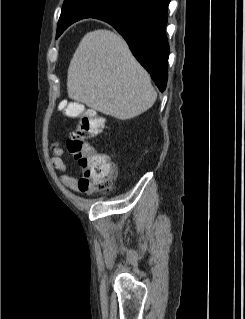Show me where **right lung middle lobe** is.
<instances>
[{
    "label": "right lung middle lobe",
    "instance_id": "1",
    "mask_svg": "<svg viewBox=\"0 0 245 319\" xmlns=\"http://www.w3.org/2000/svg\"><path fill=\"white\" fill-rule=\"evenodd\" d=\"M126 0H85L79 2L80 6L83 7L86 11L91 13L93 17L108 11L110 9H113L122 3H124ZM64 8H62L63 10ZM66 28V27H65ZM59 30L57 27V33H62L64 29Z\"/></svg>",
    "mask_w": 245,
    "mask_h": 319
}]
</instances>
